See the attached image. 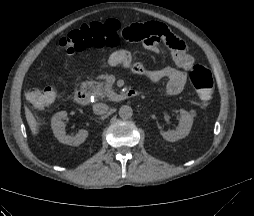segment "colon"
I'll list each match as a JSON object with an SVG mask.
<instances>
[{
  "label": "colon",
  "mask_w": 254,
  "mask_h": 216,
  "mask_svg": "<svg viewBox=\"0 0 254 216\" xmlns=\"http://www.w3.org/2000/svg\"><path fill=\"white\" fill-rule=\"evenodd\" d=\"M119 28L120 24L116 20L90 23L63 36L59 46L67 55H73L87 48L115 47L121 42L117 36ZM189 76L199 97L205 105H208L214 88L210 70L203 65L193 64ZM26 96L35 109L44 110L54 102L56 92L52 87L33 88Z\"/></svg>",
  "instance_id": "5ec220e1"
}]
</instances>
